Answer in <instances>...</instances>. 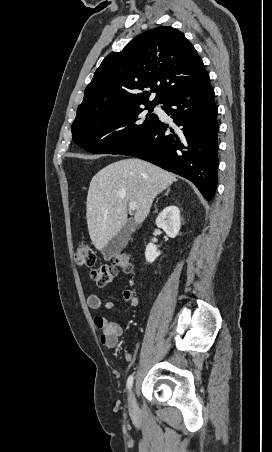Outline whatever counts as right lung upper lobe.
<instances>
[{"label": "right lung upper lobe", "mask_w": 272, "mask_h": 452, "mask_svg": "<svg viewBox=\"0 0 272 452\" xmlns=\"http://www.w3.org/2000/svg\"><path fill=\"white\" fill-rule=\"evenodd\" d=\"M184 34L170 26L149 30L105 57L86 87L76 119L102 111L157 105L208 78ZM149 88V91H144ZM156 96L149 101L151 93ZM75 119V120H76Z\"/></svg>", "instance_id": "obj_1"}]
</instances>
